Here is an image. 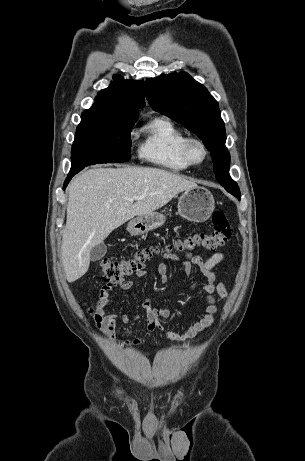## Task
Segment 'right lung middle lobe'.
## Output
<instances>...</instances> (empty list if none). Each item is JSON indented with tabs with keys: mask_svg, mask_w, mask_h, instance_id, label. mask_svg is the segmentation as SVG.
I'll return each mask as SVG.
<instances>
[{
	"mask_svg": "<svg viewBox=\"0 0 305 461\" xmlns=\"http://www.w3.org/2000/svg\"><path fill=\"white\" fill-rule=\"evenodd\" d=\"M135 121L82 115L72 145L71 169L127 161Z\"/></svg>",
	"mask_w": 305,
	"mask_h": 461,
	"instance_id": "right-lung-middle-lobe-1",
	"label": "right lung middle lobe"
}]
</instances>
